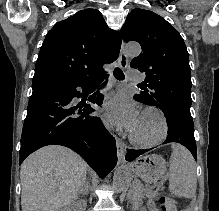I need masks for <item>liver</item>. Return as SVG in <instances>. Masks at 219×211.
Masks as SVG:
<instances>
[{
	"mask_svg": "<svg viewBox=\"0 0 219 211\" xmlns=\"http://www.w3.org/2000/svg\"><path fill=\"white\" fill-rule=\"evenodd\" d=\"M90 167L63 145H45L21 163L22 211H61L86 185Z\"/></svg>",
	"mask_w": 219,
	"mask_h": 211,
	"instance_id": "obj_1",
	"label": "liver"
}]
</instances>
